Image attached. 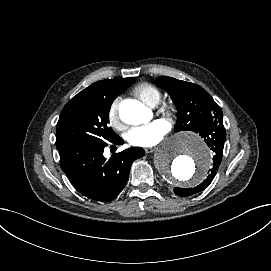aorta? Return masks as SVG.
Wrapping results in <instances>:
<instances>
[{
  "instance_id": "obj_1",
  "label": "aorta",
  "mask_w": 271,
  "mask_h": 271,
  "mask_svg": "<svg viewBox=\"0 0 271 271\" xmlns=\"http://www.w3.org/2000/svg\"><path fill=\"white\" fill-rule=\"evenodd\" d=\"M119 116L123 122L137 125L148 119L149 111L137 100H126L119 107ZM210 165L208 148L193 134H181L167 140L155 154L157 170L173 185H197Z\"/></svg>"
}]
</instances>
